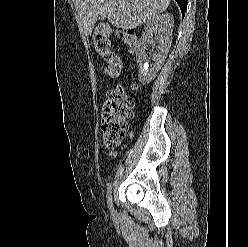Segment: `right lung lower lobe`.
<instances>
[{"instance_id":"right-lung-lower-lobe-1","label":"right lung lower lobe","mask_w":248,"mask_h":247,"mask_svg":"<svg viewBox=\"0 0 248 247\" xmlns=\"http://www.w3.org/2000/svg\"><path fill=\"white\" fill-rule=\"evenodd\" d=\"M176 2L178 3V5H179V7L181 9L182 16L184 17L185 11H186V8H187L188 0H176Z\"/></svg>"}]
</instances>
